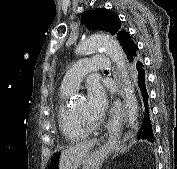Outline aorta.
<instances>
[{
	"label": "aorta",
	"mask_w": 177,
	"mask_h": 169,
	"mask_svg": "<svg viewBox=\"0 0 177 169\" xmlns=\"http://www.w3.org/2000/svg\"><path fill=\"white\" fill-rule=\"evenodd\" d=\"M99 48L104 49L106 55L116 64L117 69L123 78V82L126 85L124 96L126 119L128 125L134 127L138 119L137 100L134 94L133 85L129 79L125 62L126 56L118 42L109 36L92 35L80 43L76 52L80 55L90 54Z\"/></svg>",
	"instance_id": "762f6f07"
}]
</instances>
